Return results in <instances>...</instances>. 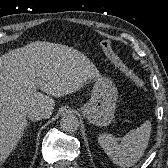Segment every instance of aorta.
<instances>
[{
    "instance_id": "aorta-1",
    "label": "aorta",
    "mask_w": 168,
    "mask_h": 168,
    "mask_svg": "<svg viewBox=\"0 0 168 168\" xmlns=\"http://www.w3.org/2000/svg\"><path fill=\"white\" fill-rule=\"evenodd\" d=\"M61 129L65 132L72 133L78 129V118L73 114L64 115L60 121Z\"/></svg>"
}]
</instances>
